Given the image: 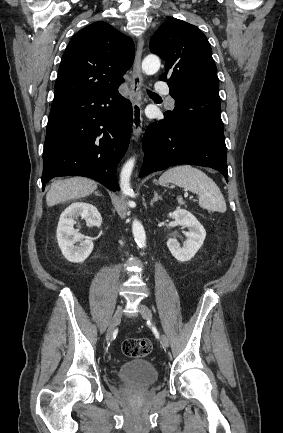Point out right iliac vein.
I'll return each mask as SVG.
<instances>
[{
  "mask_svg": "<svg viewBox=\"0 0 283 433\" xmlns=\"http://www.w3.org/2000/svg\"><path fill=\"white\" fill-rule=\"evenodd\" d=\"M122 311H123L122 307H120V308H118L116 310V312H115V314H114V316L112 318V321L109 324L107 333H106V340L107 341H109L111 339L115 327L120 323L121 316H122Z\"/></svg>",
  "mask_w": 283,
  "mask_h": 433,
  "instance_id": "obj_1",
  "label": "right iliac vein"
}]
</instances>
